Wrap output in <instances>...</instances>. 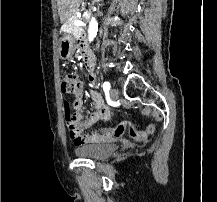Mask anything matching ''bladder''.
<instances>
[{"mask_svg":"<svg viewBox=\"0 0 217 202\" xmlns=\"http://www.w3.org/2000/svg\"><path fill=\"white\" fill-rule=\"evenodd\" d=\"M115 148L116 144L105 141L101 143H92L83 148H77L75 152L77 155L100 160L106 156L112 155Z\"/></svg>","mask_w":217,"mask_h":202,"instance_id":"bladder-1","label":"bladder"}]
</instances>
